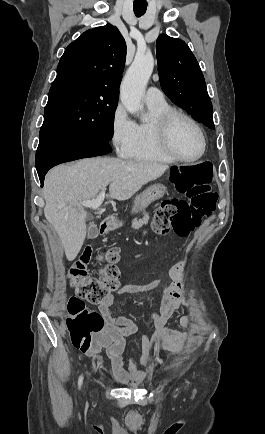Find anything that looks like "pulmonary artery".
Segmentation results:
<instances>
[{
	"mask_svg": "<svg viewBox=\"0 0 265 434\" xmlns=\"http://www.w3.org/2000/svg\"><path fill=\"white\" fill-rule=\"evenodd\" d=\"M165 97V91H160L159 87H148L144 95V100L146 104L161 103L162 100H165Z\"/></svg>",
	"mask_w": 265,
	"mask_h": 434,
	"instance_id": "1",
	"label": "pulmonary artery"
}]
</instances>
